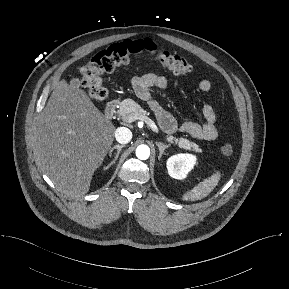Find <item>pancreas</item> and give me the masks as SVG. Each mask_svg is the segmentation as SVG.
Wrapping results in <instances>:
<instances>
[{
    "label": "pancreas",
    "mask_w": 289,
    "mask_h": 289,
    "mask_svg": "<svg viewBox=\"0 0 289 289\" xmlns=\"http://www.w3.org/2000/svg\"><path fill=\"white\" fill-rule=\"evenodd\" d=\"M118 115L123 119V120H128L130 117L134 116H147L148 113L146 110H144L136 101L133 99H125L122 102H120V107L118 109ZM167 141L170 143H175L177 144L180 148H183L185 150H190L194 151L197 153H202V149L199 148V146L191 142L185 138H176L172 135L167 136Z\"/></svg>",
    "instance_id": "obj_1"
}]
</instances>
